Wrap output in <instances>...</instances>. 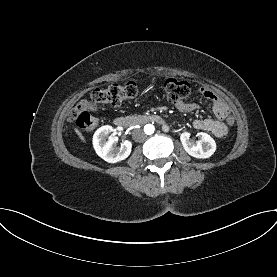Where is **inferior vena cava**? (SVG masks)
Instances as JSON below:
<instances>
[{"label":"inferior vena cava","mask_w":277,"mask_h":277,"mask_svg":"<svg viewBox=\"0 0 277 277\" xmlns=\"http://www.w3.org/2000/svg\"><path fill=\"white\" fill-rule=\"evenodd\" d=\"M133 139L137 142H143L146 139V134L141 129L133 131Z\"/></svg>","instance_id":"602c4592"}]
</instances>
